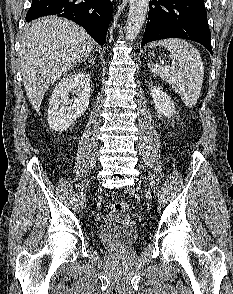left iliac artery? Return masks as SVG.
<instances>
[{
    "label": "left iliac artery",
    "instance_id": "left-iliac-artery-1",
    "mask_svg": "<svg viewBox=\"0 0 233 294\" xmlns=\"http://www.w3.org/2000/svg\"><path fill=\"white\" fill-rule=\"evenodd\" d=\"M146 197H147L148 199H151V194H150L149 192H147Z\"/></svg>",
    "mask_w": 233,
    "mask_h": 294
}]
</instances>
